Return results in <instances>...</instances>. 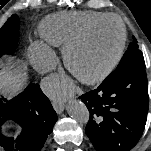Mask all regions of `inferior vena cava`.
Returning a JSON list of instances; mask_svg holds the SVG:
<instances>
[{
  "label": "inferior vena cava",
  "instance_id": "1",
  "mask_svg": "<svg viewBox=\"0 0 151 151\" xmlns=\"http://www.w3.org/2000/svg\"><path fill=\"white\" fill-rule=\"evenodd\" d=\"M57 62L54 57H50L43 62V68L46 72L56 68Z\"/></svg>",
  "mask_w": 151,
  "mask_h": 151
}]
</instances>
